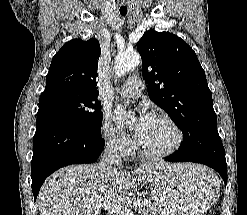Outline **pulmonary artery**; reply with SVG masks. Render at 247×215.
I'll return each mask as SVG.
<instances>
[{
  "mask_svg": "<svg viewBox=\"0 0 247 215\" xmlns=\"http://www.w3.org/2000/svg\"><path fill=\"white\" fill-rule=\"evenodd\" d=\"M123 97L137 98L143 92V82L139 76L129 77L118 89Z\"/></svg>",
  "mask_w": 247,
  "mask_h": 215,
  "instance_id": "e3ab8cb5",
  "label": "pulmonary artery"
}]
</instances>
